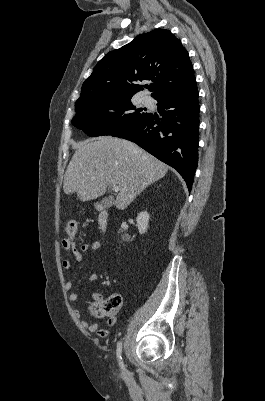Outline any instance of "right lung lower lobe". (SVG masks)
I'll return each instance as SVG.
<instances>
[{
  "instance_id": "obj_1",
  "label": "right lung lower lobe",
  "mask_w": 265,
  "mask_h": 401,
  "mask_svg": "<svg viewBox=\"0 0 265 401\" xmlns=\"http://www.w3.org/2000/svg\"><path fill=\"white\" fill-rule=\"evenodd\" d=\"M162 118L148 113L112 136L135 142L175 168L191 191L198 164L199 103L196 82L187 89L157 98Z\"/></svg>"
}]
</instances>
